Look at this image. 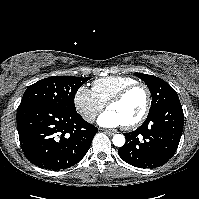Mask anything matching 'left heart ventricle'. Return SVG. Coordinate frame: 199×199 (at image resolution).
<instances>
[{
    "label": "left heart ventricle",
    "instance_id": "left-heart-ventricle-1",
    "mask_svg": "<svg viewBox=\"0 0 199 199\" xmlns=\"http://www.w3.org/2000/svg\"><path fill=\"white\" fill-rule=\"evenodd\" d=\"M144 106L145 92L141 88H136L130 91L121 102L111 105L108 110L113 111L125 125L135 121L142 114Z\"/></svg>",
    "mask_w": 199,
    "mask_h": 199
}]
</instances>
